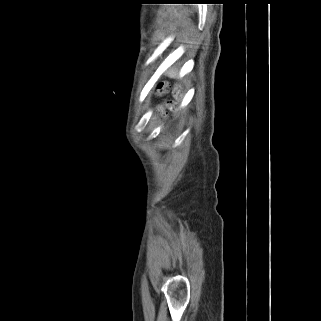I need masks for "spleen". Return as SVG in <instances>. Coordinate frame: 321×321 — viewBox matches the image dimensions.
<instances>
[{"label": "spleen", "mask_w": 321, "mask_h": 321, "mask_svg": "<svg viewBox=\"0 0 321 321\" xmlns=\"http://www.w3.org/2000/svg\"><path fill=\"white\" fill-rule=\"evenodd\" d=\"M176 74H177L176 69H170V70L167 72V75H168L169 77H175Z\"/></svg>", "instance_id": "obj_1"}]
</instances>
